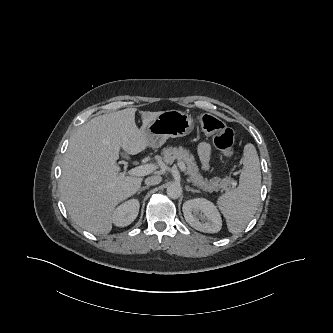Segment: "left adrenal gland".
<instances>
[{
	"label": "left adrenal gland",
	"mask_w": 333,
	"mask_h": 333,
	"mask_svg": "<svg viewBox=\"0 0 333 333\" xmlns=\"http://www.w3.org/2000/svg\"><path fill=\"white\" fill-rule=\"evenodd\" d=\"M185 189H186V191L197 192V193L200 192V191H198L196 189L190 188L189 186H186Z\"/></svg>",
	"instance_id": "left-adrenal-gland-1"
}]
</instances>
